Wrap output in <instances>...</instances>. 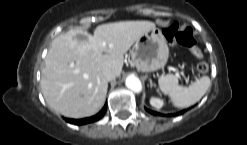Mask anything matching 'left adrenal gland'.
<instances>
[{
    "instance_id": "1",
    "label": "left adrenal gland",
    "mask_w": 247,
    "mask_h": 145,
    "mask_svg": "<svg viewBox=\"0 0 247 145\" xmlns=\"http://www.w3.org/2000/svg\"><path fill=\"white\" fill-rule=\"evenodd\" d=\"M149 81H150V87H156V84H154L151 79H149Z\"/></svg>"
}]
</instances>
